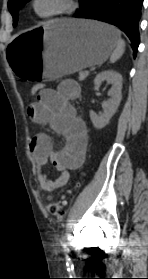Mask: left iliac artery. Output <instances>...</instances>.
Here are the masks:
<instances>
[{
	"label": "left iliac artery",
	"mask_w": 148,
	"mask_h": 279,
	"mask_svg": "<svg viewBox=\"0 0 148 279\" xmlns=\"http://www.w3.org/2000/svg\"><path fill=\"white\" fill-rule=\"evenodd\" d=\"M63 248L67 249V244L66 243H63Z\"/></svg>",
	"instance_id": "44dca946"
}]
</instances>
